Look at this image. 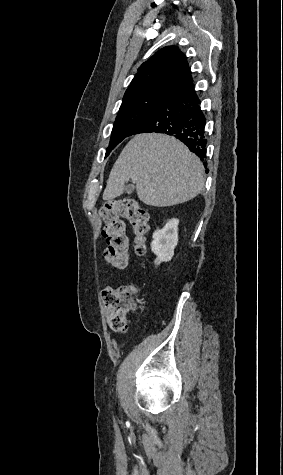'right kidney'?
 I'll return each instance as SVG.
<instances>
[{
    "label": "right kidney",
    "mask_w": 283,
    "mask_h": 475,
    "mask_svg": "<svg viewBox=\"0 0 283 475\" xmlns=\"http://www.w3.org/2000/svg\"><path fill=\"white\" fill-rule=\"evenodd\" d=\"M178 224L177 218H172L165 224L162 230H155L151 241V249L155 255L156 265L161 261H170L174 255V247L178 243Z\"/></svg>",
    "instance_id": "1"
}]
</instances>
